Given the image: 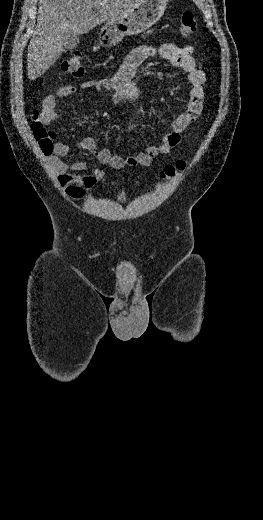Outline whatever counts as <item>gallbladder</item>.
Returning a JSON list of instances; mask_svg holds the SVG:
<instances>
[{
    "label": "gallbladder",
    "instance_id": "1",
    "mask_svg": "<svg viewBox=\"0 0 263 520\" xmlns=\"http://www.w3.org/2000/svg\"><path fill=\"white\" fill-rule=\"evenodd\" d=\"M80 37L74 32H68L63 35L64 48L66 49H74L79 44Z\"/></svg>",
    "mask_w": 263,
    "mask_h": 520
}]
</instances>
